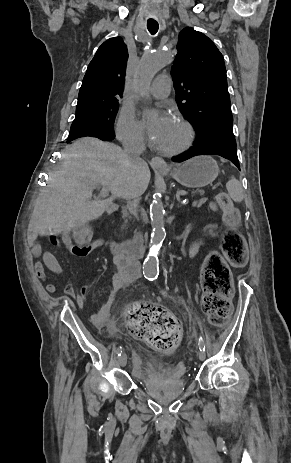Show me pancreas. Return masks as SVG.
Listing matches in <instances>:
<instances>
[{
    "label": "pancreas",
    "mask_w": 291,
    "mask_h": 463,
    "mask_svg": "<svg viewBox=\"0 0 291 463\" xmlns=\"http://www.w3.org/2000/svg\"><path fill=\"white\" fill-rule=\"evenodd\" d=\"M193 195H195V192L192 193V196ZM128 217H129L128 213L123 214V219H125V222H127Z\"/></svg>",
    "instance_id": "1"
}]
</instances>
